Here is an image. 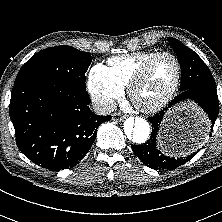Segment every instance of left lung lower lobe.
Returning <instances> with one entry per match:
<instances>
[{
    "instance_id": "0a47b994",
    "label": "left lung lower lobe",
    "mask_w": 222,
    "mask_h": 222,
    "mask_svg": "<svg viewBox=\"0 0 222 222\" xmlns=\"http://www.w3.org/2000/svg\"><path fill=\"white\" fill-rule=\"evenodd\" d=\"M184 100H193L194 102H196L206 112L209 120L206 121L203 131L204 133L202 135H193V137L185 138L184 143L187 146H194V149L186 154L185 158L175 159L163 155L156 148V138L159 125L161 124L166 111L175 104ZM218 113L219 101L216 90L205 88H190L183 90L172 100V102L165 109L161 110L159 113H156L155 116L148 118L150 123L152 124L150 139L145 144L132 145V150L134 154L145 165L151 167L152 169L161 170L159 166L163 168L162 170L175 169L189 161L197 153L193 151L197 150L199 146L205 141L207 134L210 133L209 135H211V132H209V130L211 128L212 131Z\"/></svg>"
}]
</instances>
